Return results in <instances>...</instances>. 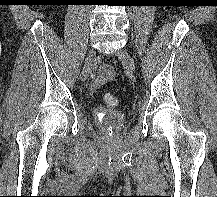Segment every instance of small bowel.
<instances>
[{
	"instance_id": "1",
	"label": "small bowel",
	"mask_w": 217,
	"mask_h": 197,
	"mask_svg": "<svg viewBox=\"0 0 217 197\" xmlns=\"http://www.w3.org/2000/svg\"><path fill=\"white\" fill-rule=\"evenodd\" d=\"M114 73L113 71L106 65L102 66L99 70L98 77L92 82L90 90L91 92H95L102 88L105 83L111 79H113Z\"/></svg>"
}]
</instances>
